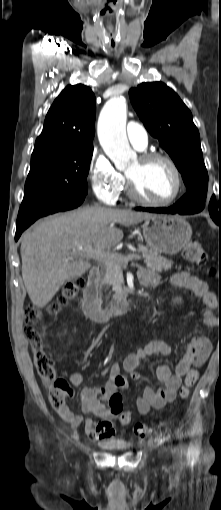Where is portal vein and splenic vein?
Wrapping results in <instances>:
<instances>
[{"label":"portal vein and splenic vein","mask_w":221,"mask_h":510,"mask_svg":"<svg viewBox=\"0 0 221 510\" xmlns=\"http://www.w3.org/2000/svg\"><path fill=\"white\" fill-rule=\"evenodd\" d=\"M81 250H82V247H79L78 249H73L74 252L81 251ZM84 256L86 258L95 259V260H97L99 262H103L105 264H110L113 259L117 258L116 253H110V252H106V251H103L100 249H93L91 247L85 251ZM119 258L124 263H128V261H131V260H140L141 259L140 256L135 255V254H131V255H128L125 257H119Z\"/></svg>","instance_id":"18ae733b"}]
</instances>
